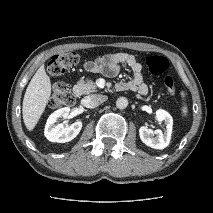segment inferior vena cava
<instances>
[{
  "label": "inferior vena cava",
  "mask_w": 213,
  "mask_h": 213,
  "mask_svg": "<svg viewBox=\"0 0 213 213\" xmlns=\"http://www.w3.org/2000/svg\"><path fill=\"white\" fill-rule=\"evenodd\" d=\"M107 100V96L101 94H93L86 96L83 103L87 108H95Z\"/></svg>",
  "instance_id": "inferior-vena-cava-1"
}]
</instances>
